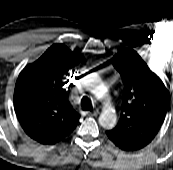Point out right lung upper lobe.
Instances as JSON below:
<instances>
[{"label": "right lung upper lobe", "instance_id": "1", "mask_svg": "<svg viewBox=\"0 0 173 170\" xmlns=\"http://www.w3.org/2000/svg\"><path fill=\"white\" fill-rule=\"evenodd\" d=\"M83 56L63 44H54L19 74L14 109L25 133L41 144H55L70 134L79 121L63 88L68 71Z\"/></svg>", "mask_w": 173, "mask_h": 170}]
</instances>
